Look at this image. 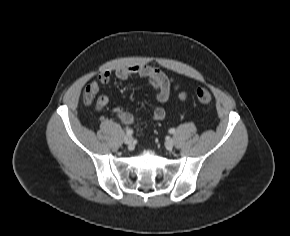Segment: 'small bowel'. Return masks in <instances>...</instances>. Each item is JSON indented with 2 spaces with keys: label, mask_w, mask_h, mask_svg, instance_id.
<instances>
[{
  "label": "small bowel",
  "mask_w": 290,
  "mask_h": 236,
  "mask_svg": "<svg viewBox=\"0 0 290 236\" xmlns=\"http://www.w3.org/2000/svg\"><path fill=\"white\" fill-rule=\"evenodd\" d=\"M112 75L113 73L109 70L100 73L97 78L87 86V89L92 90L96 96L100 85L108 84ZM114 76L118 81H125L133 76L147 79L156 91L155 100L157 105L154 107L152 118L155 121H160L165 118L166 111L163 105L170 100L173 86L172 80L164 72L149 65L134 64L118 68L115 70ZM179 99L184 101L186 99L185 93L181 92L179 94ZM108 103L109 98L107 96H98L95 102V110L101 112ZM114 113L124 124H131L133 122L132 114L123 108L118 107L114 109Z\"/></svg>",
  "instance_id": "c3829d8e"
}]
</instances>
